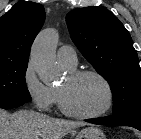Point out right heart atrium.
<instances>
[{"label": "right heart atrium", "mask_w": 141, "mask_h": 139, "mask_svg": "<svg viewBox=\"0 0 141 139\" xmlns=\"http://www.w3.org/2000/svg\"><path fill=\"white\" fill-rule=\"evenodd\" d=\"M22 82L27 95L37 109L47 111L53 107L56 101L54 89L42 83L31 61H28L24 68Z\"/></svg>", "instance_id": "d8ad5b80"}]
</instances>
